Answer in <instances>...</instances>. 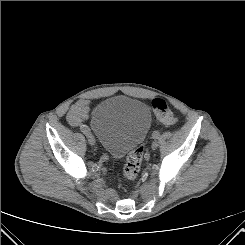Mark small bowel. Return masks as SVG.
I'll return each instance as SVG.
<instances>
[{"mask_svg": "<svg viewBox=\"0 0 245 245\" xmlns=\"http://www.w3.org/2000/svg\"><path fill=\"white\" fill-rule=\"evenodd\" d=\"M88 118V101L78 100L67 113V121L72 127H82L83 122Z\"/></svg>", "mask_w": 245, "mask_h": 245, "instance_id": "c3829d8e", "label": "small bowel"}]
</instances>
